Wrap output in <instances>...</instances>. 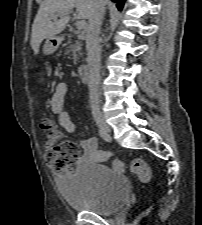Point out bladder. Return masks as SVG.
I'll list each match as a JSON object with an SVG mask.
<instances>
[{
	"label": "bladder",
	"instance_id": "1",
	"mask_svg": "<svg viewBox=\"0 0 202 225\" xmlns=\"http://www.w3.org/2000/svg\"><path fill=\"white\" fill-rule=\"evenodd\" d=\"M59 186L72 210L111 215L125 204L130 182L125 174L112 172L104 164L85 161Z\"/></svg>",
	"mask_w": 202,
	"mask_h": 225
}]
</instances>
